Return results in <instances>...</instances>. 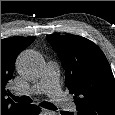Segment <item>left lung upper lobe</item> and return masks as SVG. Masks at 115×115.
<instances>
[{
  "label": "left lung upper lobe",
  "mask_w": 115,
  "mask_h": 115,
  "mask_svg": "<svg viewBox=\"0 0 115 115\" xmlns=\"http://www.w3.org/2000/svg\"><path fill=\"white\" fill-rule=\"evenodd\" d=\"M74 95L77 115H115V79L102 50L77 35H47Z\"/></svg>",
  "instance_id": "obj_1"
}]
</instances>
